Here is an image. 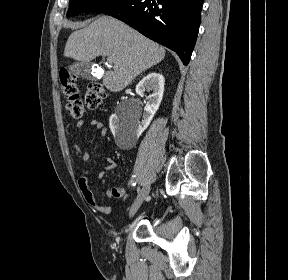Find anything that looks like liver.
<instances>
[{
    "label": "liver",
    "instance_id": "6515ba94",
    "mask_svg": "<svg viewBox=\"0 0 288 280\" xmlns=\"http://www.w3.org/2000/svg\"><path fill=\"white\" fill-rule=\"evenodd\" d=\"M100 55L111 57L114 63L113 70L105 73L103 84L111 92H118L160 63L165 49L125 23L103 15L71 33L64 49V57L80 62H89Z\"/></svg>",
    "mask_w": 288,
    "mask_h": 280
}]
</instances>
